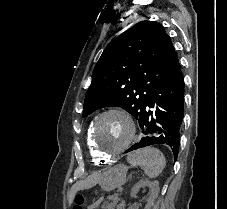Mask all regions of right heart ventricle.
I'll use <instances>...</instances> for the list:
<instances>
[{"instance_id":"obj_1","label":"right heart ventricle","mask_w":227,"mask_h":209,"mask_svg":"<svg viewBox=\"0 0 227 209\" xmlns=\"http://www.w3.org/2000/svg\"><path fill=\"white\" fill-rule=\"evenodd\" d=\"M93 122H94V121H91V122L88 124L87 129H86V134H85L86 145H87L88 151H89V153H90V156H91L92 160H93L95 163L108 162L109 159L101 157V156L97 153V151H96V149H95V147H94V145H93V143H92L91 130H92Z\"/></svg>"}]
</instances>
